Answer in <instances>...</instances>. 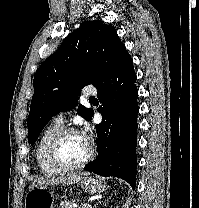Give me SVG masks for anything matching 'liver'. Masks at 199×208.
<instances>
[{
    "label": "liver",
    "instance_id": "6515ba94",
    "mask_svg": "<svg viewBox=\"0 0 199 208\" xmlns=\"http://www.w3.org/2000/svg\"><path fill=\"white\" fill-rule=\"evenodd\" d=\"M80 176L77 174L73 175H67V176H62V177H57V178H46V177H41L35 179L31 186L30 189L37 187V186H47V185H71L74 183L79 182Z\"/></svg>",
    "mask_w": 199,
    "mask_h": 208
}]
</instances>
